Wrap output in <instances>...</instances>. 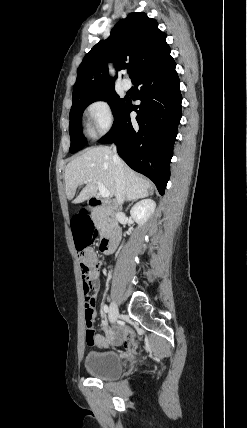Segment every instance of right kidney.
I'll return each instance as SVG.
<instances>
[{"instance_id": "1", "label": "right kidney", "mask_w": 247, "mask_h": 428, "mask_svg": "<svg viewBox=\"0 0 247 428\" xmlns=\"http://www.w3.org/2000/svg\"><path fill=\"white\" fill-rule=\"evenodd\" d=\"M155 208V201L152 199H144L131 208L130 214L140 227L147 222L149 217L154 213Z\"/></svg>"}]
</instances>
